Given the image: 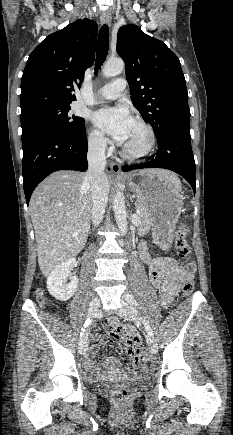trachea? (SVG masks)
<instances>
[{
  "instance_id": "3493384b",
  "label": "trachea",
  "mask_w": 233,
  "mask_h": 435,
  "mask_svg": "<svg viewBox=\"0 0 233 435\" xmlns=\"http://www.w3.org/2000/svg\"><path fill=\"white\" fill-rule=\"evenodd\" d=\"M108 48H109V27L108 25H103L99 31V36H98L96 63L94 69L95 74L106 60L108 54Z\"/></svg>"
}]
</instances>
